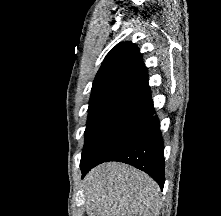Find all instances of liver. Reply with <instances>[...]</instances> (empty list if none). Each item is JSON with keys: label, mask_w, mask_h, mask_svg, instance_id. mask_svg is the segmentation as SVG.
Masks as SVG:
<instances>
[{"label": "liver", "mask_w": 221, "mask_h": 216, "mask_svg": "<svg viewBox=\"0 0 221 216\" xmlns=\"http://www.w3.org/2000/svg\"><path fill=\"white\" fill-rule=\"evenodd\" d=\"M83 193L89 216H157L162 204L160 187L151 177L118 162L92 169Z\"/></svg>", "instance_id": "1"}]
</instances>
